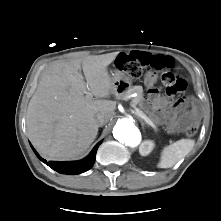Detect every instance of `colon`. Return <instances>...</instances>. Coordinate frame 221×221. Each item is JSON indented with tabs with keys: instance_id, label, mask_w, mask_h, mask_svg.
Here are the masks:
<instances>
[{
	"instance_id": "obj_1",
	"label": "colon",
	"mask_w": 221,
	"mask_h": 221,
	"mask_svg": "<svg viewBox=\"0 0 221 221\" xmlns=\"http://www.w3.org/2000/svg\"><path fill=\"white\" fill-rule=\"evenodd\" d=\"M172 63L173 59L171 57L162 54L151 56L146 53H139L133 59L130 55L122 53L116 59L117 68L133 79L152 77L153 70H164L171 67ZM162 81L166 87L167 94L170 96L184 93L188 86L184 77L173 72H164ZM197 130L198 124L193 121L185 128V134L191 137L196 134Z\"/></svg>"
}]
</instances>
